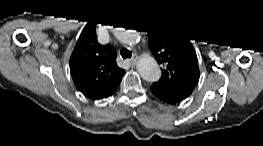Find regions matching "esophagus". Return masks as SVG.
I'll return each instance as SVG.
<instances>
[{"instance_id":"34e87169","label":"esophagus","mask_w":263,"mask_h":146,"mask_svg":"<svg viewBox=\"0 0 263 146\" xmlns=\"http://www.w3.org/2000/svg\"><path fill=\"white\" fill-rule=\"evenodd\" d=\"M137 60H138V57H137V56H134V57L130 60V64H131L132 66L136 65Z\"/></svg>"}]
</instances>
